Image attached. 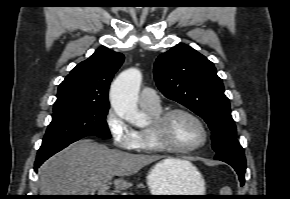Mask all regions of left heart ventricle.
Wrapping results in <instances>:
<instances>
[{
    "mask_svg": "<svg viewBox=\"0 0 290 199\" xmlns=\"http://www.w3.org/2000/svg\"><path fill=\"white\" fill-rule=\"evenodd\" d=\"M164 136L175 146L189 148L202 141L203 133L198 123L192 118L176 114L170 118Z\"/></svg>",
    "mask_w": 290,
    "mask_h": 199,
    "instance_id": "left-heart-ventricle-1",
    "label": "left heart ventricle"
}]
</instances>
